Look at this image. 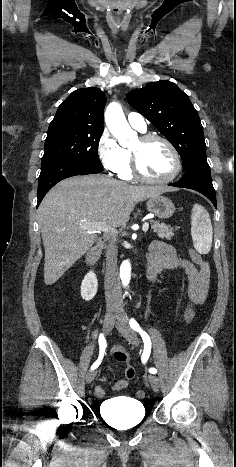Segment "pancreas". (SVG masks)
<instances>
[{
  "instance_id": "cf45deb5",
  "label": "pancreas",
  "mask_w": 236,
  "mask_h": 467,
  "mask_svg": "<svg viewBox=\"0 0 236 467\" xmlns=\"http://www.w3.org/2000/svg\"><path fill=\"white\" fill-rule=\"evenodd\" d=\"M152 226H151V229L157 233L158 237L162 238V239H167V240H171L172 236L174 235L173 233V229L168 227L166 224L164 223H160L158 221H150Z\"/></svg>"
}]
</instances>
